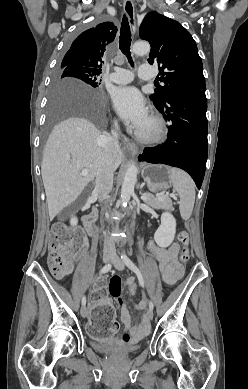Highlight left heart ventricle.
I'll list each match as a JSON object with an SVG mask.
<instances>
[{
    "mask_svg": "<svg viewBox=\"0 0 248 389\" xmlns=\"http://www.w3.org/2000/svg\"><path fill=\"white\" fill-rule=\"evenodd\" d=\"M152 129V125L149 122V120L146 121V123L143 125V127L140 129L143 132H149Z\"/></svg>",
    "mask_w": 248,
    "mask_h": 389,
    "instance_id": "left-heart-ventricle-1",
    "label": "left heart ventricle"
}]
</instances>
